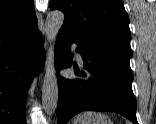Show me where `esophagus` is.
I'll list each match as a JSON object with an SVG mask.
<instances>
[{"label": "esophagus", "mask_w": 156, "mask_h": 124, "mask_svg": "<svg viewBox=\"0 0 156 124\" xmlns=\"http://www.w3.org/2000/svg\"><path fill=\"white\" fill-rule=\"evenodd\" d=\"M50 65H51V49L49 50V54H48V60L46 63V70L49 69Z\"/></svg>", "instance_id": "obj_1"}]
</instances>
